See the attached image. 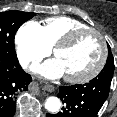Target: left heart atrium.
Listing matches in <instances>:
<instances>
[{
	"label": "left heart atrium",
	"mask_w": 117,
	"mask_h": 117,
	"mask_svg": "<svg viewBox=\"0 0 117 117\" xmlns=\"http://www.w3.org/2000/svg\"><path fill=\"white\" fill-rule=\"evenodd\" d=\"M34 71L49 79H56L64 75L61 64L56 58L35 66Z\"/></svg>",
	"instance_id": "obj_1"
}]
</instances>
